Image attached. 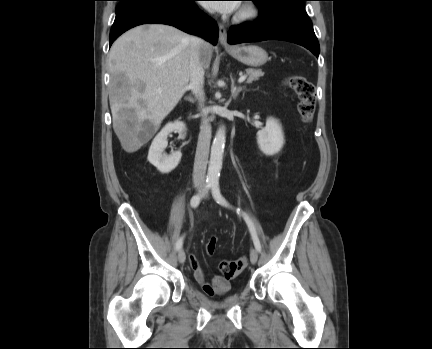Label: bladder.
Segmentation results:
<instances>
[{"label": "bladder", "instance_id": "31cf9c89", "mask_svg": "<svg viewBox=\"0 0 432 349\" xmlns=\"http://www.w3.org/2000/svg\"><path fill=\"white\" fill-rule=\"evenodd\" d=\"M197 294L200 300L214 307H221L225 302L236 298V294L230 293L228 291L217 299H213L212 297L207 296L202 291H197Z\"/></svg>", "mask_w": 432, "mask_h": 349}]
</instances>
